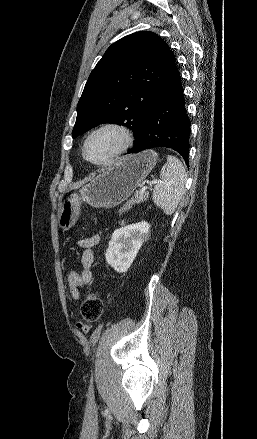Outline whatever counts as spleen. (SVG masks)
<instances>
[{
	"mask_svg": "<svg viewBox=\"0 0 257 439\" xmlns=\"http://www.w3.org/2000/svg\"><path fill=\"white\" fill-rule=\"evenodd\" d=\"M160 178L154 187L152 200L166 215H172L184 193L185 168L179 159L168 155L167 163L161 169Z\"/></svg>",
	"mask_w": 257,
	"mask_h": 439,
	"instance_id": "1",
	"label": "spleen"
}]
</instances>
